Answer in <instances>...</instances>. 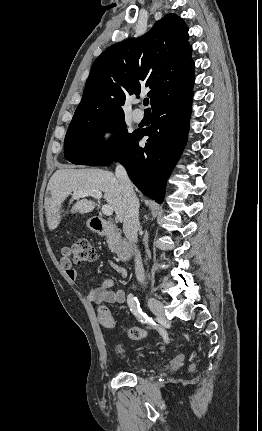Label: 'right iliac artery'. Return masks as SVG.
Masks as SVG:
<instances>
[{
  "mask_svg": "<svg viewBox=\"0 0 262 431\" xmlns=\"http://www.w3.org/2000/svg\"><path fill=\"white\" fill-rule=\"evenodd\" d=\"M127 303L130 308V311L136 316V318L141 323L155 325V322L153 321V319L148 317L147 314L142 311V309L140 308L138 299L134 297L132 294L128 295ZM161 335L163 336L164 340L167 342V338L164 336L162 332H161Z\"/></svg>",
  "mask_w": 262,
  "mask_h": 431,
  "instance_id": "82829eb1",
  "label": "right iliac artery"
}]
</instances>
